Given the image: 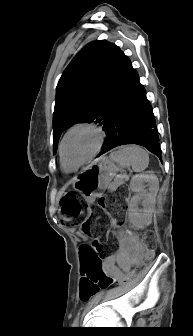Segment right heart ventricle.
Masks as SVG:
<instances>
[{
    "label": "right heart ventricle",
    "instance_id": "1",
    "mask_svg": "<svg viewBox=\"0 0 193 336\" xmlns=\"http://www.w3.org/2000/svg\"><path fill=\"white\" fill-rule=\"evenodd\" d=\"M61 165H62V169H63V171H64V172H67V173H68V172H73V171L77 170V169H71V168L65 166V165L63 164L62 161H61Z\"/></svg>",
    "mask_w": 193,
    "mask_h": 336
}]
</instances>
